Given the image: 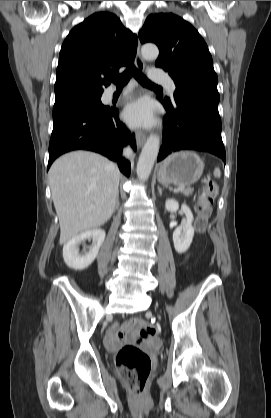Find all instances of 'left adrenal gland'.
<instances>
[{
    "instance_id": "1",
    "label": "left adrenal gland",
    "mask_w": 271,
    "mask_h": 418,
    "mask_svg": "<svg viewBox=\"0 0 271 418\" xmlns=\"http://www.w3.org/2000/svg\"><path fill=\"white\" fill-rule=\"evenodd\" d=\"M158 193H159V195L161 196L162 195V189H161V187L158 185Z\"/></svg>"
}]
</instances>
